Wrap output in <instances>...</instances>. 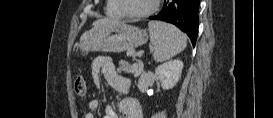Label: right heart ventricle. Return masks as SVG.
<instances>
[{"mask_svg":"<svg viewBox=\"0 0 273 118\" xmlns=\"http://www.w3.org/2000/svg\"><path fill=\"white\" fill-rule=\"evenodd\" d=\"M105 13L112 17H123L124 13L119 7L118 0H108L104 8Z\"/></svg>","mask_w":273,"mask_h":118,"instance_id":"1","label":"right heart ventricle"}]
</instances>
